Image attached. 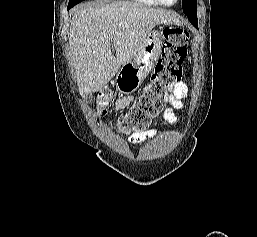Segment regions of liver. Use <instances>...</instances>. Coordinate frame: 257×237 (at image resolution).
<instances>
[{
  "label": "liver",
  "instance_id": "liver-1",
  "mask_svg": "<svg viewBox=\"0 0 257 237\" xmlns=\"http://www.w3.org/2000/svg\"><path fill=\"white\" fill-rule=\"evenodd\" d=\"M171 23L179 21L169 12L137 3L79 7L71 20L69 43L81 95L101 90L136 56L156 25Z\"/></svg>",
  "mask_w": 257,
  "mask_h": 237
}]
</instances>
